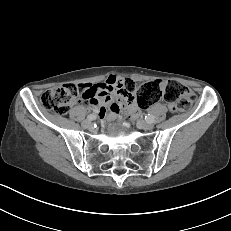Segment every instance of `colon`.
<instances>
[{
	"mask_svg": "<svg viewBox=\"0 0 231 231\" xmlns=\"http://www.w3.org/2000/svg\"><path fill=\"white\" fill-rule=\"evenodd\" d=\"M122 87L126 92L136 95L140 108H146L159 100H164L172 111H183L189 109L195 99L190 90L171 80H154L138 86L131 80H125ZM89 93L81 85L65 84L46 90L40 97V103L44 108L58 115H64L76 101H83ZM132 114L137 115L136 112Z\"/></svg>",
	"mask_w": 231,
	"mask_h": 231,
	"instance_id": "5ec220e1",
	"label": "colon"
}]
</instances>
